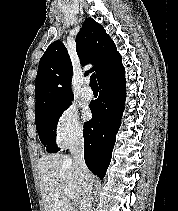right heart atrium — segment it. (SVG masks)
Masks as SVG:
<instances>
[{
	"label": "right heart atrium",
	"instance_id": "obj_1",
	"mask_svg": "<svg viewBox=\"0 0 178 211\" xmlns=\"http://www.w3.org/2000/svg\"><path fill=\"white\" fill-rule=\"evenodd\" d=\"M84 124L77 108L69 104L57 115L54 123V135L60 146H69L82 139Z\"/></svg>",
	"mask_w": 178,
	"mask_h": 211
}]
</instances>
